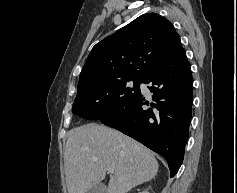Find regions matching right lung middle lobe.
I'll list each match as a JSON object with an SVG mask.
<instances>
[{
	"label": "right lung middle lobe",
	"mask_w": 237,
	"mask_h": 193,
	"mask_svg": "<svg viewBox=\"0 0 237 193\" xmlns=\"http://www.w3.org/2000/svg\"><path fill=\"white\" fill-rule=\"evenodd\" d=\"M133 81V84L129 82ZM143 78L109 80L78 90L73 113L89 120L109 117L131 103L140 93Z\"/></svg>",
	"instance_id": "1"
}]
</instances>
